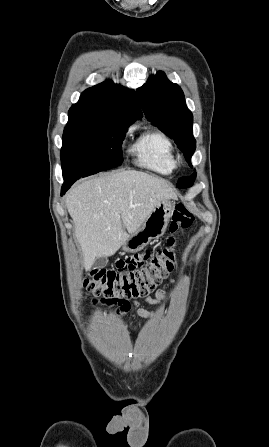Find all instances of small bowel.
<instances>
[{
  "label": "small bowel",
  "instance_id": "obj_1",
  "mask_svg": "<svg viewBox=\"0 0 269 447\" xmlns=\"http://www.w3.org/2000/svg\"><path fill=\"white\" fill-rule=\"evenodd\" d=\"M174 284H175V280L173 278H171L169 281V285L173 286ZM165 300H166V292L163 290L157 291L155 298H150V297L145 298V301L152 305H159L162 302H164ZM133 306H134L136 312L142 316L153 317L155 315V313L153 311H147V310H144L143 308H141L139 306L138 301H135L133 303Z\"/></svg>",
  "mask_w": 269,
  "mask_h": 447
}]
</instances>
